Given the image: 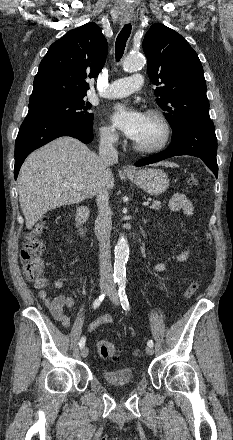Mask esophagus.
<instances>
[{
	"instance_id": "esophagus-1",
	"label": "esophagus",
	"mask_w": 233,
	"mask_h": 440,
	"mask_svg": "<svg viewBox=\"0 0 233 440\" xmlns=\"http://www.w3.org/2000/svg\"><path fill=\"white\" fill-rule=\"evenodd\" d=\"M131 19L130 18H124V21L125 22H129ZM123 171L125 172V173H134L135 172V170L131 167V166H128V165H125L124 167H123Z\"/></svg>"
}]
</instances>
